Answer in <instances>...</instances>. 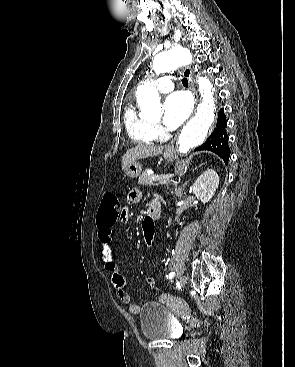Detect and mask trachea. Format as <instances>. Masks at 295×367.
Returning a JSON list of instances; mask_svg holds the SVG:
<instances>
[{
    "label": "trachea",
    "mask_w": 295,
    "mask_h": 367,
    "mask_svg": "<svg viewBox=\"0 0 295 367\" xmlns=\"http://www.w3.org/2000/svg\"><path fill=\"white\" fill-rule=\"evenodd\" d=\"M182 84L187 87L188 86V80L186 78H183L182 79Z\"/></svg>",
    "instance_id": "obj_1"
}]
</instances>
